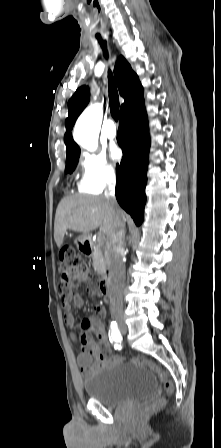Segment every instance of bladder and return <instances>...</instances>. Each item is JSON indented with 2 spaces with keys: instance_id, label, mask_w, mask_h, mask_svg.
<instances>
[{
  "instance_id": "1",
  "label": "bladder",
  "mask_w": 221,
  "mask_h": 448,
  "mask_svg": "<svg viewBox=\"0 0 221 448\" xmlns=\"http://www.w3.org/2000/svg\"><path fill=\"white\" fill-rule=\"evenodd\" d=\"M89 399L107 407L150 398L155 392V380L147 369L128 362L116 361L82 382Z\"/></svg>"
}]
</instances>
